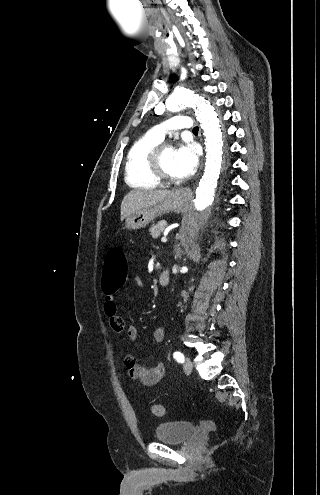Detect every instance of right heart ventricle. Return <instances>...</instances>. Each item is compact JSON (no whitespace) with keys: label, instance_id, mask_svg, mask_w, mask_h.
Masks as SVG:
<instances>
[{"label":"right heart ventricle","instance_id":"e07e8e85","mask_svg":"<svg viewBox=\"0 0 320 495\" xmlns=\"http://www.w3.org/2000/svg\"><path fill=\"white\" fill-rule=\"evenodd\" d=\"M150 133L138 138L129 148L125 159V181L133 188H156L160 181L151 173L148 165L150 151L160 143Z\"/></svg>","mask_w":320,"mask_h":495}]
</instances>
